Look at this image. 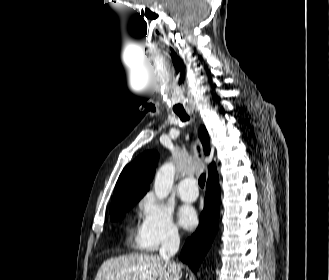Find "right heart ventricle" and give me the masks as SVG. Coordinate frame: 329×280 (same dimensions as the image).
<instances>
[{
	"label": "right heart ventricle",
	"instance_id": "1",
	"mask_svg": "<svg viewBox=\"0 0 329 280\" xmlns=\"http://www.w3.org/2000/svg\"><path fill=\"white\" fill-rule=\"evenodd\" d=\"M130 240H133L137 246L143 247L140 240H139L138 234H131L130 235Z\"/></svg>",
	"mask_w": 329,
	"mask_h": 280
}]
</instances>
